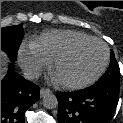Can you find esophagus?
I'll list each match as a JSON object with an SVG mask.
<instances>
[{"label":"esophagus","instance_id":"obj_1","mask_svg":"<svg viewBox=\"0 0 123 123\" xmlns=\"http://www.w3.org/2000/svg\"><path fill=\"white\" fill-rule=\"evenodd\" d=\"M49 93H51V90L48 89V88H41V90H40V96L41 97H43V96H45V95H47Z\"/></svg>","mask_w":123,"mask_h":123}]
</instances>
